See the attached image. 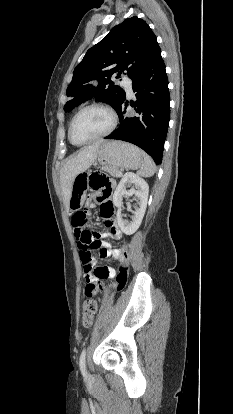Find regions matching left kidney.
<instances>
[{"mask_svg": "<svg viewBox=\"0 0 233 414\" xmlns=\"http://www.w3.org/2000/svg\"><path fill=\"white\" fill-rule=\"evenodd\" d=\"M134 185L130 190H126L127 186ZM149 186L147 182L140 176L127 172L122 179L120 180L114 195L113 203L118 208L117 211V222L123 233L126 235L134 234L139 226L141 225L143 216L147 207ZM132 196L135 195L139 200L138 205L133 212L132 221L130 223L125 222L122 218L121 207H122V198L123 196Z\"/></svg>", "mask_w": 233, "mask_h": 414, "instance_id": "left-kidney-1", "label": "left kidney"}]
</instances>
